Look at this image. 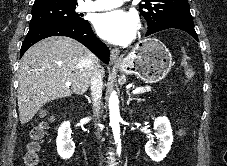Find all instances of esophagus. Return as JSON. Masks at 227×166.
<instances>
[{
  "mask_svg": "<svg viewBox=\"0 0 227 166\" xmlns=\"http://www.w3.org/2000/svg\"><path fill=\"white\" fill-rule=\"evenodd\" d=\"M110 60H111L112 63L120 62L121 59H120V51H119V49H117V48L111 49Z\"/></svg>",
  "mask_w": 227,
  "mask_h": 166,
  "instance_id": "obj_1",
  "label": "esophagus"
}]
</instances>
